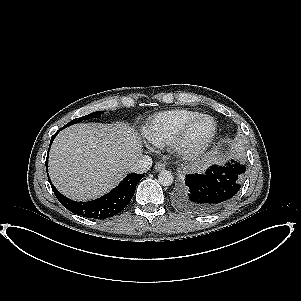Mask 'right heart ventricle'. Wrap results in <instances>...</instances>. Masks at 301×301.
<instances>
[{
    "mask_svg": "<svg viewBox=\"0 0 301 301\" xmlns=\"http://www.w3.org/2000/svg\"><path fill=\"white\" fill-rule=\"evenodd\" d=\"M200 115L187 109H174L154 114L143 129L148 142L157 147H166L172 143L181 129Z\"/></svg>",
    "mask_w": 301,
    "mask_h": 301,
    "instance_id": "right-heart-ventricle-1",
    "label": "right heart ventricle"
}]
</instances>
